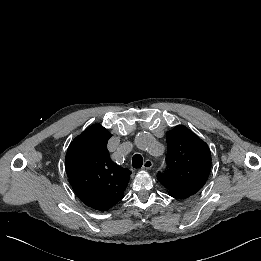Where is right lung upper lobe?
I'll return each mask as SVG.
<instances>
[{"mask_svg":"<svg viewBox=\"0 0 261 261\" xmlns=\"http://www.w3.org/2000/svg\"><path fill=\"white\" fill-rule=\"evenodd\" d=\"M110 137L106 128L92 125L70 143L65 159L73 190L87 206L99 211L123 199L131 174L110 159Z\"/></svg>","mask_w":261,"mask_h":261,"instance_id":"1","label":"right lung upper lobe"}]
</instances>
